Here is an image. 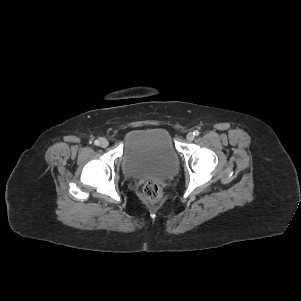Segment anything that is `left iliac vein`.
Instances as JSON below:
<instances>
[{
  "mask_svg": "<svg viewBox=\"0 0 301 301\" xmlns=\"http://www.w3.org/2000/svg\"><path fill=\"white\" fill-rule=\"evenodd\" d=\"M186 139L188 141H193L194 140V134L192 132H189L186 136Z\"/></svg>",
  "mask_w": 301,
  "mask_h": 301,
  "instance_id": "1",
  "label": "left iliac vein"
}]
</instances>
